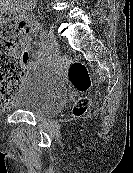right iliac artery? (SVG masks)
Masks as SVG:
<instances>
[{"instance_id":"1","label":"right iliac artery","mask_w":133,"mask_h":173,"mask_svg":"<svg viewBox=\"0 0 133 173\" xmlns=\"http://www.w3.org/2000/svg\"><path fill=\"white\" fill-rule=\"evenodd\" d=\"M48 43H49L48 41H43V46H44V48L47 47Z\"/></svg>"}]
</instances>
